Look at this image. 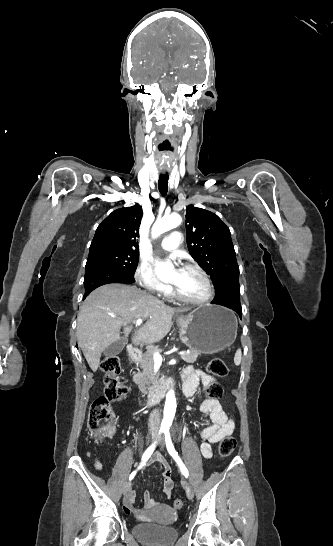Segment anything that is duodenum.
I'll list each match as a JSON object with an SVG mask.
<instances>
[{
  "mask_svg": "<svg viewBox=\"0 0 333 546\" xmlns=\"http://www.w3.org/2000/svg\"><path fill=\"white\" fill-rule=\"evenodd\" d=\"M128 354L131 359H138L140 357V352L137 348L130 345L128 347ZM173 387V381L167 377H161L148 391L146 395V402L156 404L165 393Z\"/></svg>",
  "mask_w": 333,
  "mask_h": 546,
  "instance_id": "410a0bca",
  "label": "duodenum"
}]
</instances>
